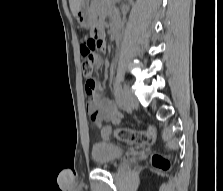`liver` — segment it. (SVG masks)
<instances>
[{"label": "liver", "instance_id": "1", "mask_svg": "<svg viewBox=\"0 0 223 191\" xmlns=\"http://www.w3.org/2000/svg\"><path fill=\"white\" fill-rule=\"evenodd\" d=\"M84 0H69L70 9L74 17H76L79 9L83 5Z\"/></svg>", "mask_w": 223, "mask_h": 191}]
</instances>
